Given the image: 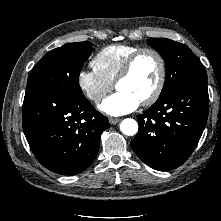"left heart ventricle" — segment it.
<instances>
[{"instance_id":"left-heart-ventricle-1","label":"left heart ventricle","mask_w":221,"mask_h":221,"mask_svg":"<svg viewBox=\"0 0 221 221\" xmlns=\"http://www.w3.org/2000/svg\"><path fill=\"white\" fill-rule=\"evenodd\" d=\"M158 77V60L153 54L145 53L139 57L131 74L118 84L117 89L134 95L142 102L153 92Z\"/></svg>"}]
</instances>
